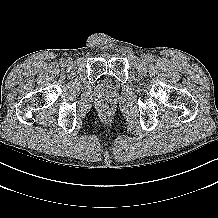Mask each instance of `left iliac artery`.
Segmentation results:
<instances>
[{
	"mask_svg": "<svg viewBox=\"0 0 218 218\" xmlns=\"http://www.w3.org/2000/svg\"><path fill=\"white\" fill-rule=\"evenodd\" d=\"M148 58H149L150 61H153V60H154V56H152V55H149Z\"/></svg>",
	"mask_w": 218,
	"mask_h": 218,
	"instance_id": "44dca946",
	"label": "left iliac artery"
}]
</instances>
